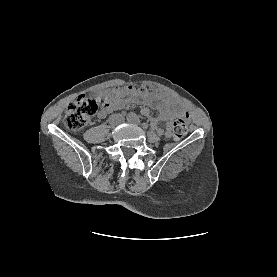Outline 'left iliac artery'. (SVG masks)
<instances>
[{"label": "left iliac artery", "mask_w": 277, "mask_h": 277, "mask_svg": "<svg viewBox=\"0 0 277 277\" xmlns=\"http://www.w3.org/2000/svg\"><path fill=\"white\" fill-rule=\"evenodd\" d=\"M137 124H139L140 123V120L139 119H136V121H135Z\"/></svg>", "instance_id": "obj_1"}]
</instances>
